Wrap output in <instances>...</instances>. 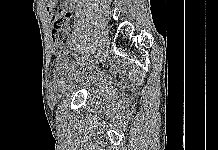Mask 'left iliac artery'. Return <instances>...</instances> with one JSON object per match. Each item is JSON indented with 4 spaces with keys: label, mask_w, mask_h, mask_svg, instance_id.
<instances>
[{
    "label": "left iliac artery",
    "mask_w": 218,
    "mask_h": 150,
    "mask_svg": "<svg viewBox=\"0 0 218 150\" xmlns=\"http://www.w3.org/2000/svg\"><path fill=\"white\" fill-rule=\"evenodd\" d=\"M98 42L101 40L99 37L96 39ZM94 55H95V53H93ZM88 58H90V57H88ZM76 70L77 71H84L85 70V66L82 64L81 66H77L76 67ZM75 69L73 70V71H68V76H72V74L73 73H76L77 71H76Z\"/></svg>",
    "instance_id": "left-iliac-artery-1"
}]
</instances>
